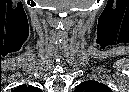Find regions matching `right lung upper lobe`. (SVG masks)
<instances>
[{
  "label": "right lung upper lobe",
  "mask_w": 129,
  "mask_h": 92,
  "mask_svg": "<svg viewBox=\"0 0 129 92\" xmlns=\"http://www.w3.org/2000/svg\"><path fill=\"white\" fill-rule=\"evenodd\" d=\"M22 89H25V90H35V88L34 87H31V86H29V87H27V86H21V87H19V90H22Z\"/></svg>",
  "instance_id": "cb5924a9"
}]
</instances>
